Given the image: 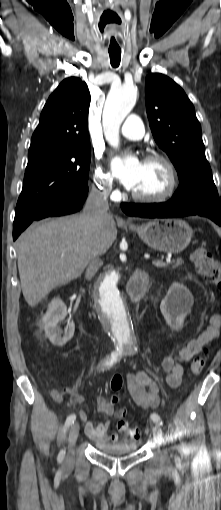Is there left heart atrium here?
Listing matches in <instances>:
<instances>
[{
	"label": "left heart atrium",
	"mask_w": 221,
	"mask_h": 510,
	"mask_svg": "<svg viewBox=\"0 0 221 510\" xmlns=\"http://www.w3.org/2000/svg\"><path fill=\"white\" fill-rule=\"evenodd\" d=\"M111 163L122 185L133 191L139 181L143 162L133 154H124L112 157Z\"/></svg>",
	"instance_id": "left-heart-atrium-1"
}]
</instances>
